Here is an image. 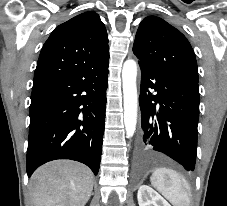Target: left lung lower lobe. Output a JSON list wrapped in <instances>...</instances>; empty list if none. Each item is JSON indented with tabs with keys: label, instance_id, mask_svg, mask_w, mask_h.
Instances as JSON below:
<instances>
[{
	"label": "left lung lower lobe",
	"instance_id": "obj_1",
	"mask_svg": "<svg viewBox=\"0 0 227 206\" xmlns=\"http://www.w3.org/2000/svg\"><path fill=\"white\" fill-rule=\"evenodd\" d=\"M142 150L162 152L193 171L199 119L198 82L140 64ZM152 92H156L153 94Z\"/></svg>",
	"mask_w": 227,
	"mask_h": 206
}]
</instances>
